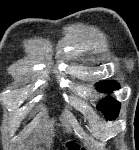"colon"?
<instances>
[{
  "instance_id": "colon-1",
  "label": "colon",
  "mask_w": 139,
  "mask_h": 150,
  "mask_svg": "<svg viewBox=\"0 0 139 150\" xmlns=\"http://www.w3.org/2000/svg\"><path fill=\"white\" fill-rule=\"evenodd\" d=\"M74 148V146H71V149H73Z\"/></svg>"
}]
</instances>
